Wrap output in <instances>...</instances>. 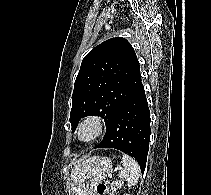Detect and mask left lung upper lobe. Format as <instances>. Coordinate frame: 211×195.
<instances>
[{"instance_id": "5c2ea615", "label": "left lung upper lobe", "mask_w": 211, "mask_h": 195, "mask_svg": "<svg viewBox=\"0 0 211 195\" xmlns=\"http://www.w3.org/2000/svg\"><path fill=\"white\" fill-rule=\"evenodd\" d=\"M134 49L121 37L94 47L83 59L74 84L70 123L74 132L86 116L104 118L106 126L141 86Z\"/></svg>"}]
</instances>
